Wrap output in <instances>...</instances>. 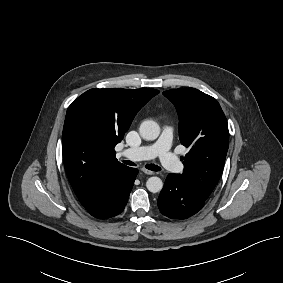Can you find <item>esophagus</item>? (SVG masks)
I'll list each match as a JSON object with an SVG mask.
<instances>
[{"label":"esophagus","mask_w":283,"mask_h":283,"mask_svg":"<svg viewBox=\"0 0 283 283\" xmlns=\"http://www.w3.org/2000/svg\"><path fill=\"white\" fill-rule=\"evenodd\" d=\"M141 171L144 172V173L147 174V175H153V174H154L153 171L148 170V169H145V168H142Z\"/></svg>","instance_id":"34e87169"}]
</instances>
